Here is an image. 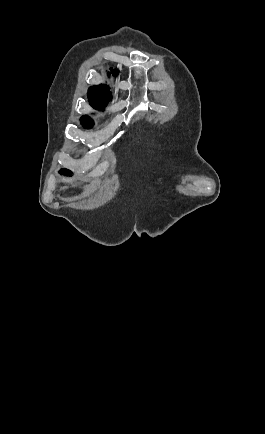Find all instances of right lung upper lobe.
I'll return each instance as SVG.
<instances>
[{
	"label": "right lung upper lobe",
	"instance_id": "right-lung-upper-lobe-1",
	"mask_svg": "<svg viewBox=\"0 0 265 434\" xmlns=\"http://www.w3.org/2000/svg\"><path fill=\"white\" fill-rule=\"evenodd\" d=\"M112 74H118V71L115 69L110 68ZM89 96L94 97H100L105 100H110L112 95L111 92L108 90V87L106 85H99V86H93L89 88L88 92Z\"/></svg>",
	"mask_w": 265,
	"mask_h": 434
}]
</instances>
